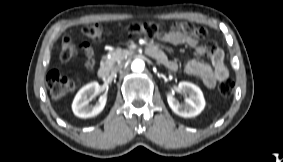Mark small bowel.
<instances>
[{
    "label": "small bowel",
    "instance_id": "obj_1",
    "mask_svg": "<svg viewBox=\"0 0 283 162\" xmlns=\"http://www.w3.org/2000/svg\"><path fill=\"white\" fill-rule=\"evenodd\" d=\"M206 35L204 28L194 27L190 24H174L167 32L161 33L160 40L172 45H187L193 48L197 55H208L211 63L201 60H191L185 65V72L189 75L198 77L205 87L214 88L217 82L228 78L229 71L224 60V53L217 48L215 42L210 41L207 45L201 43V38ZM82 48L86 55L85 65L87 69L92 70L95 66L94 52L91 46L83 44ZM163 53V52H162ZM170 70H176L178 65L175 61L169 59L164 53L163 58L158 59Z\"/></svg>",
    "mask_w": 283,
    "mask_h": 162
}]
</instances>
